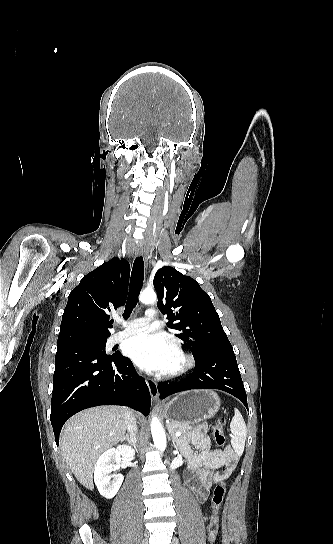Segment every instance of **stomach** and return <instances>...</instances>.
Here are the masks:
<instances>
[{"instance_id": "0dacf381", "label": "stomach", "mask_w": 333, "mask_h": 544, "mask_svg": "<svg viewBox=\"0 0 333 544\" xmlns=\"http://www.w3.org/2000/svg\"><path fill=\"white\" fill-rule=\"evenodd\" d=\"M220 408V398L212 390L182 392L164 407L165 416L171 422L187 426L213 417Z\"/></svg>"}]
</instances>
